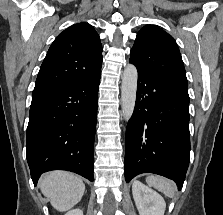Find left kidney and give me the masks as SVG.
<instances>
[{"instance_id":"5707ae66","label":"left kidney","mask_w":223,"mask_h":215,"mask_svg":"<svg viewBox=\"0 0 223 215\" xmlns=\"http://www.w3.org/2000/svg\"><path fill=\"white\" fill-rule=\"evenodd\" d=\"M132 193L140 215H164L166 203L160 193L137 179L132 183Z\"/></svg>"}]
</instances>
